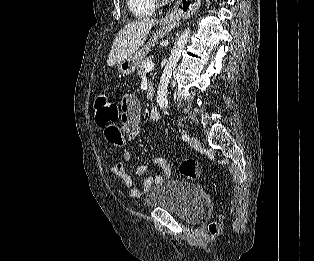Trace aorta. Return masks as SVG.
<instances>
[{
    "instance_id": "aorta-1",
    "label": "aorta",
    "mask_w": 314,
    "mask_h": 261,
    "mask_svg": "<svg viewBox=\"0 0 314 261\" xmlns=\"http://www.w3.org/2000/svg\"><path fill=\"white\" fill-rule=\"evenodd\" d=\"M190 37V29L187 28L185 29L182 34L178 37L172 51L171 55L167 61V64L164 68V71L162 73L160 83L158 86V91H157V103L160 107V109H166L168 105V100H167V87L170 82L172 72L175 69L183 49L185 48L188 39Z\"/></svg>"
}]
</instances>
